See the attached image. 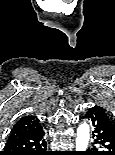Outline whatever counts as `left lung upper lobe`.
<instances>
[{
  "label": "left lung upper lobe",
  "instance_id": "obj_1",
  "mask_svg": "<svg viewBox=\"0 0 115 155\" xmlns=\"http://www.w3.org/2000/svg\"><path fill=\"white\" fill-rule=\"evenodd\" d=\"M109 117L112 121L113 127H115V118L112 115H109Z\"/></svg>",
  "mask_w": 115,
  "mask_h": 155
}]
</instances>
